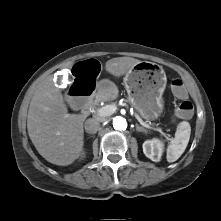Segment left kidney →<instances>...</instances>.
Instances as JSON below:
<instances>
[{
    "label": "left kidney",
    "instance_id": "obj_1",
    "mask_svg": "<svg viewBox=\"0 0 221 221\" xmlns=\"http://www.w3.org/2000/svg\"><path fill=\"white\" fill-rule=\"evenodd\" d=\"M143 152L146 157L154 162L161 160L164 144L159 139L147 140L143 143Z\"/></svg>",
    "mask_w": 221,
    "mask_h": 221
}]
</instances>
